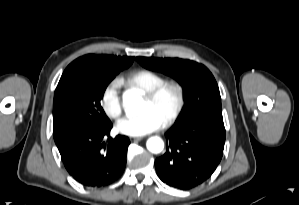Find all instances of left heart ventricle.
I'll use <instances>...</instances> for the list:
<instances>
[{"label":"left heart ventricle","instance_id":"1","mask_svg":"<svg viewBox=\"0 0 299 205\" xmlns=\"http://www.w3.org/2000/svg\"><path fill=\"white\" fill-rule=\"evenodd\" d=\"M175 103V93L171 90L166 91L158 100L150 102L143 99L140 113L146 110L154 112L163 121L172 111Z\"/></svg>","mask_w":299,"mask_h":205}]
</instances>
